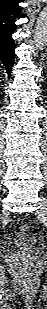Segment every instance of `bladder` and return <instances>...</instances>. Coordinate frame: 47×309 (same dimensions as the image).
<instances>
[{
	"instance_id": "1",
	"label": "bladder",
	"mask_w": 47,
	"mask_h": 309,
	"mask_svg": "<svg viewBox=\"0 0 47 309\" xmlns=\"http://www.w3.org/2000/svg\"><path fill=\"white\" fill-rule=\"evenodd\" d=\"M14 244L17 248L20 249H31L38 245V240L36 236L26 232L18 235L14 241Z\"/></svg>"
}]
</instances>
